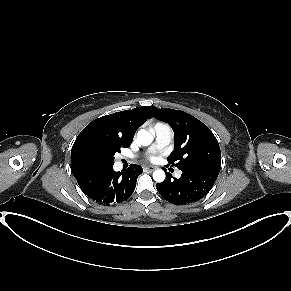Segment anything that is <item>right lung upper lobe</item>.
Segmentation results:
<instances>
[{"label": "right lung upper lobe", "instance_id": "right-lung-upper-lobe-1", "mask_svg": "<svg viewBox=\"0 0 291 291\" xmlns=\"http://www.w3.org/2000/svg\"><path fill=\"white\" fill-rule=\"evenodd\" d=\"M154 106L136 107L132 110L116 112L100 117L90 122L76 138L71 151V169L77 178L88 172L80 168L76 163V152L82 143L91 137H102L117 140L130 146L136 130L148 119L154 110Z\"/></svg>", "mask_w": 291, "mask_h": 291}]
</instances>
